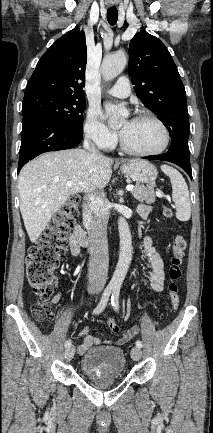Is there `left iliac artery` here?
Masks as SVG:
<instances>
[{
  "label": "left iliac artery",
  "mask_w": 213,
  "mask_h": 433,
  "mask_svg": "<svg viewBox=\"0 0 213 433\" xmlns=\"http://www.w3.org/2000/svg\"><path fill=\"white\" fill-rule=\"evenodd\" d=\"M119 293H120V287H115L113 289V293L111 296V303H112V306L114 307L115 311L119 310ZM136 346L141 348L142 342L140 340H137Z\"/></svg>",
  "instance_id": "left-iliac-artery-1"
}]
</instances>
